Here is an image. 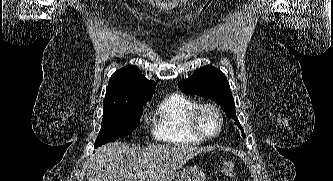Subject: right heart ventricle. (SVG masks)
<instances>
[{
  "mask_svg": "<svg viewBox=\"0 0 333 181\" xmlns=\"http://www.w3.org/2000/svg\"><path fill=\"white\" fill-rule=\"evenodd\" d=\"M197 103L182 95L164 98L153 111V135L156 140L170 144H198L203 139L190 127L189 118Z\"/></svg>",
  "mask_w": 333,
  "mask_h": 181,
  "instance_id": "e07e8e85",
  "label": "right heart ventricle"
}]
</instances>
